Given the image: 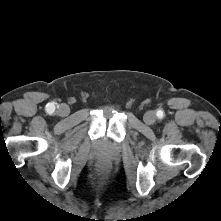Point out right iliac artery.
<instances>
[{
	"mask_svg": "<svg viewBox=\"0 0 221 221\" xmlns=\"http://www.w3.org/2000/svg\"><path fill=\"white\" fill-rule=\"evenodd\" d=\"M56 107L53 103H48L46 105V110L49 114H52L55 111Z\"/></svg>",
	"mask_w": 221,
	"mask_h": 221,
	"instance_id": "obj_1",
	"label": "right iliac artery"
}]
</instances>
